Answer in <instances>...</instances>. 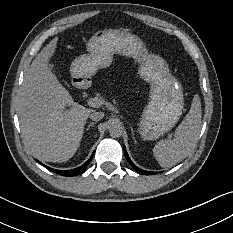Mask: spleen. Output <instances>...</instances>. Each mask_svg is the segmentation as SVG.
<instances>
[{
  "label": "spleen",
  "instance_id": "obj_1",
  "mask_svg": "<svg viewBox=\"0 0 233 233\" xmlns=\"http://www.w3.org/2000/svg\"><path fill=\"white\" fill-rule=\"evenodd\" d=\"M201 99L193 96L191 106L181 123L177 126L174 139H160L154 147V154L162 166H174L195 148L201 131Z\"/></svg>",
  "mask_w": 233,
  "mask_h": 233
}]
</instances>
